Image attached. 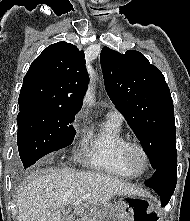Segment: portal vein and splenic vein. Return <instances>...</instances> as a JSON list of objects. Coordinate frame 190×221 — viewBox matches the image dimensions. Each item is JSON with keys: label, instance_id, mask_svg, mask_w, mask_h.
Instances as JSON below:
<instances>
[{"label": "portal vein and splenic vein", "instance_id": "18ae733b", "mask_svg": "<svg viewBox=\"0 0 190 221\" xmlns=\"http://www.w3.org/2000/svg\"><path fill=\"white\" fill-rule=\"evenodd\" d=\"M90 196H91V194L87 193V194L83 195V196L81 197V199H79V200L73 202L72 205H73V206H76V205L80 204L83 200L88 199ZM66 214H68V211L63 212V215H66Z\"/></svg>", "mask_w": 190, "mask_h": 221}]
</instances>
